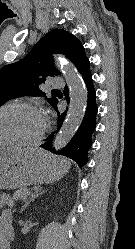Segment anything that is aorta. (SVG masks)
Instances as JSON below:
<instances>
[{
	"instance_id": "obj_1",
	"label": "aorta",
	"mask_w": 135,
	"mask_h": 249,
	"mask_svg": "<svg viewBox=\"0 0 135 249\" xmlns=\"http://www.w3.org/2000/svg\"><path fill=\"white\" fill-rule=\"evenodd\" d=\"M58 66L69 87L70 104L66 119L53 142L56 150L70 142L82 122L87 104V90L74 65L66 60H60Z\"/></svg>"
}]
</instances>
